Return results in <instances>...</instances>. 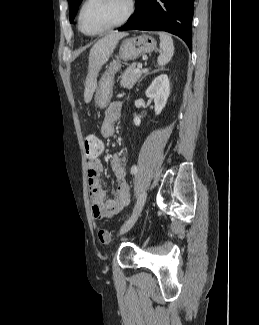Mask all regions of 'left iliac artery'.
Listing matches in <instances>:
<instances>
[{
  "instance_id": "44dca946",
  "label": "left iliac artery",
  "mask_w": 259,
  "mask_h": 325,
  "mask_svg": "<svg viewBox=\"0 0 259 325\" xmlns=\"http://www.w3.org/2000/svg\"><path fill=\"white\" fill-rule=\"evenodd\" d=\"M137 173V166L136 165H133L131 167V174H136Z\"/></svg>"
}]
</instances>
